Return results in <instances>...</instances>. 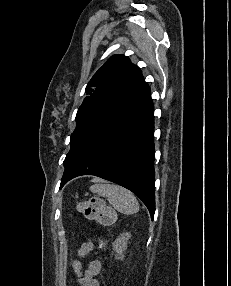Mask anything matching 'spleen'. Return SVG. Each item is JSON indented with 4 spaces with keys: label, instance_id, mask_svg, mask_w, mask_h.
<instances>
[{
    "label": "spleen",
    "instance_id": "3e777b00",
    "mask_svg": "<svg viewBox=\"0 0 231 286\" xmlns=\"http://www.w3.org/2000/svg\"><path fill=\"white\" fill-rule=\"evenodd\" d=\"M90 190L107 198L108 202L122 214L131 215L139 211L136 197L124 187L109 183H96L90 187Z\"/></svg>",
    "mask_w": 231,
    "mask_h": 286
}]
</instances>
